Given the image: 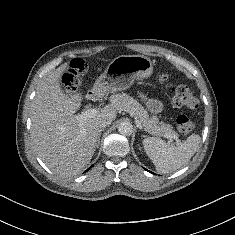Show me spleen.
Returning a JSON list of instances; mask_svg holds the SVG:
<instances>
[{"label":"spleen","mask_w":235,"mask_h":235,"mask_svg":"<svg viewBox=\"0 0 235 235\" xmlns=\"http://www.w3.org/2000/svg\"><path fill=\"white\" fill-rule=\"evenodd\" d=\"M200 140L199 135L192 134L184 143L172 146L160 138L148 137L143 140V146L157 172L166 174L186 164L197 151Z\"/></svg>","instance_id":"spleen-1"}]
</instances>
